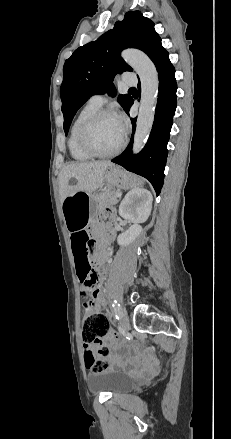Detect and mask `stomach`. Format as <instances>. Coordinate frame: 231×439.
Instances as JSON below:
<instances>
[{
	"label": "stomach",
	"instance_id": "0dacf381",
	"mask_svg": "<svg viewBox=\"0 0 231 439\" xmlns=\"http://www.w3.org/2000/svg\"><path fill=\"white\" fill-rule=\"evenodd\" d=\"M104 179L110 187L128 189L138 186L142 180L122 169L111 166L104 173ZM98 194L94 191H77L67 196L62 202V213L69 230H80L96 212Z\"/></svg>",
	"mask_w": 231,
	"mask_h": 439
}]
</instances>
